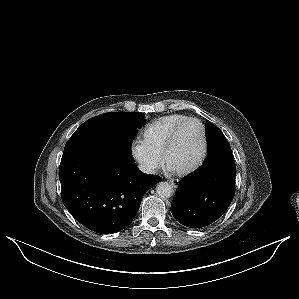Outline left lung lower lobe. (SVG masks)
Returning a JSON list of instances; mask_svg holds the SVG:
<instances>
[{"instance_id":"left-lung-lower-lobe-1","label":"left lung lower lobe","mask_w":299,"mask_h":299,"mask_svg":"<svg viewBox=\"0 0 299 299\" xmlns=\"http://www.w3.org/2000/svg\"><path fill=\"white\" fill-rule=\"evenodd\" d=\"M208 154L195 174L179 182L171 204L174 218L190 228L205 227L220 218L235 194L232 151L208 149Z\"/></svg>"}]
</instances>
